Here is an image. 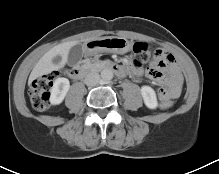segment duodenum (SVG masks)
<instances>
[{"label":"duodenum","mask_w":219,"mask_h":174,"mask_svg":"<svg viewBox=\"0 0 219 174\" xmlns=\"http://www.w3.org/2000/svg\"><path fill=\"white\" fill-rule=\"evenodd\" d=\"M94 70H111L115 72L118 76H122L124 74L123 69L118 64L112 61L99 62L92 66H80L70 70L69 74L73 79H80Z\"/></svg>","instance_id":"410a0bca"}]
</instances>
